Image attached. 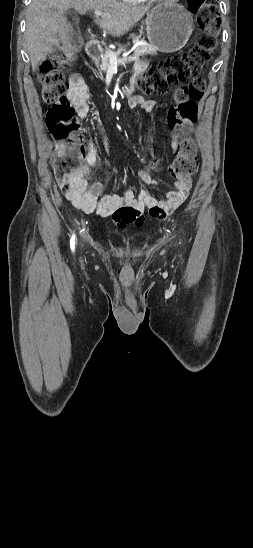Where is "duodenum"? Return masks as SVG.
<instances>
[{
	"label": "duodenum",
	"instance_id": "duodenum-1",
	"mask_svg": "<svg viewBox=\"0 0 253 548\" xmlns=\"http://www.w3.org/2000/svg\"><path fill=\"white\" fill-rule=\"evenodd\" d=\"M101 50L95 42H90L87 45V54L90 58L96 59L100 56ZM133 91V87H130L124 91V93L129 94Z\"/></svg>",
	"mask_w": 253,
	"mask_h": 548
}]
</instances>
